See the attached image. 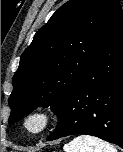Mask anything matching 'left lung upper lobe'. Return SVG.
I'll use <instances>...</instances> for the list:
<instances>
[{
	"label": "left lung upper lobe",
	"instance_id": "left-lung-upper-lobe-1",
	"mask_svg": "<svg viewBox=\"0 0 123 152\" xmlns=\"http://www.w3.org/2000/svg\"><path fill=\"white\" fill-rule=\"evenodd\" d=\"M117 0H70L35 34L13 76L9 124L37 107H61L114 26Z\"/></svg>",
	"mask_w": 123,
	"mask_h": 152
}]
</instances>
